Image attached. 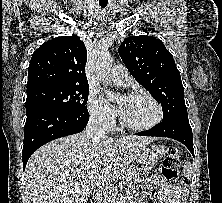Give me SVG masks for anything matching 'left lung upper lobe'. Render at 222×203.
Returning <instances> with one entry per match:
<instances>
[{"label":"left lung upper lobe","mask_w":222,"mask_h":203,"mask_svg":"<svg viewBox=\"0 0 222 203\" xmlns=\"http://www.w3.org/2000/svg\"><path fill=\"white\" fill-rule=\"evenodd\" d=\"M118 52L136 81L161 103L163 120L188 117L180 72L161 40L145 35L130 36Z\"/></svg>","instance_id":"5c2ea615"}]
</instances>
